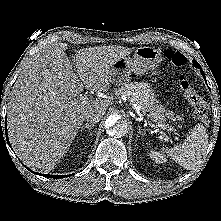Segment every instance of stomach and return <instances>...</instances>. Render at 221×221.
Listing matches in <instances>:
<instances>
[{
    "label": "stomach",
    "instance_id": "obj_1",
    "mask_svg": "<svg viewBox=\"0 0 221 221\" xmlns=\"http://www.w3.org/2000/svg\"><path fill=\"white\" fill-rule=\"evenodd\" d=\"M162 61L159 49L151 46L139 47L135 50L133 57H123L115 62L111 69V82L122 85L128 82L131 74L143 75L148 71L156 69ZM144 91L155 98V90L148 84H141Z\"/></svg>",
    "mask_w": 221,
    "mask_h": 221
}]
</instances>
